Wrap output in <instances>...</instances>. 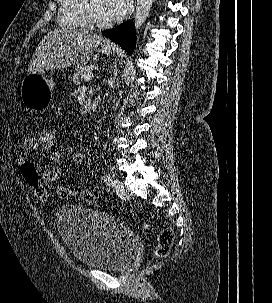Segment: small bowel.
<instances>
[{"instance_id":"obj_1","label":"small bowel","mask_w":272,"mask_h":303,"mask_svg":"<svg viewBox=\"0 0 272 303\" xmlns=\"http://www.w3.org/2000/svg\"><path fill=\"white\" fill-rule=\"evenodd\" d=\"M36 150H41V151L45 152L46 154H48L49 159L54 163L59 162L62 158V154L59 149L45 148L39 143L37 137H31L22 143V145L20 147V152L18 153L17 158H16L17 163L20 166H23L26 163L25 154L28 152H31V151H36ZM61 174L62 173L59 169H53V170H50V171L44 173L43 175H45L47 177V183H52V182L57 181L61 177ZM41 200L43 202H47L48 196L46 195L45 197H41Z\"/></svg>"}]
</instances>
